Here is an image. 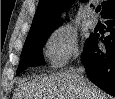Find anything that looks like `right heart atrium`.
I'll use <instances>...</instances> for the list:
<instances>
[{
    "label": "right heart atrium",
    "instance_id": "d8ad5b80",
    "mask_svg": "<svg viewBox=\"0 0 115 99\" xmlns=\"http://www.w3.org/2000/svg\"><path fill=\"white\" fill-rule=\"evenodd\" d=\"M44 53L52 67H62L79 54L76 33L68 27L55 29L44 42Z\"/></svg>",
    "mask_w": 115,
    "mask_h": 99
}]
</instances>
